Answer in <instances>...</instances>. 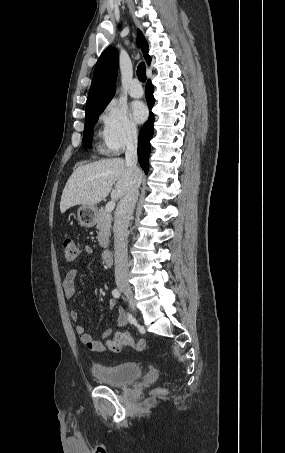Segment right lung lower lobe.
I'll return each mask as SVG.
<instances>
[{
    "mask_svg": "<svg viewBox=\"0 0 285 453\" xmlns=\"http://www.w3.org/2000/svg\"><path fill=\"white\" fill-rule=\"evenodd\" d=\"M146 100L148 103L149 109H152L155 99L153 97L154 87L149 80L146 85ZM154 114L150 111L148 121L143 125L138 139V160L139 163L147 174L149 170V154L151 150L150 140L152 139L154 128Z\"/></svg>",
    "mask_w": 285,
    "mask_h": 453,
    "instance_id": "98d812e1",
    "label": "right lung lower lobe"
}]
</instances>
